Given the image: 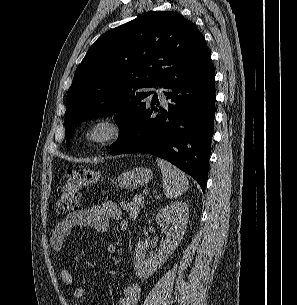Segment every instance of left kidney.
I'll return each mask as SVG.
<instances>
[{
	"label": "left kidney",
	"instance_id": "1",
	"mask_svg": "<svg viewBox=\"0 0 297 305\" xmlns=\"http://www.w3.org/2000/svg\"><path fill=\"white\" fill-rule=\"evenodd\" d=\"M189 215L187 202L175 201L161 210L156 216L157 224L166 234L158 252H150L146 258L148 245L139 241L135 246L134 270L140 279L150 277L171 256L178 247L186 231Z\"/></svg>",
	"mask_w": 297,
	"mask_h": 305
}]
</instances>
